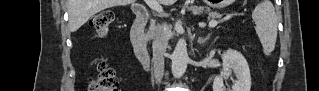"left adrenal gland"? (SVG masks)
<instances>
[{"label": "left adrenal gland", "mask_w": 319, "mask_h": 91, "mask_svg": "<svg viewBox=\"0 0 319 91\" xmlns=\"http://www.w3.org/2000/svg\"><path fill=\"white\" fill-rule=\"evenodd\" d=\"M208 37H209V34H208L206 37H203V38H202V37H199V38H198L199 44L205 43V42L207 41Z\"/></svg>", "instance_id": "1"}]
</instances>
